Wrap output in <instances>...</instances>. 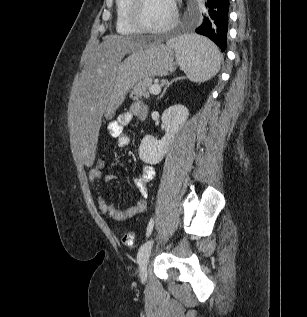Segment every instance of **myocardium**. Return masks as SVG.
<instances>
[{
  "label": "myocardium",
  "instance_id": "1",
  "mask_svg": "<svg viewBox=\"0 0 307 317\" xmlns=\"http://www.w3.org/2000/svg\"><path fill=\"white\" fill-rule=\"evenodd\" d=\"M144 0H130L127 7V17L131 27L138 33H146L152 35H159L169 32L177 24L179 18L178 7L175 0H170L172 5L171 19L159 28H152L146 26L140 18V10Z\"/></svg>",
  "mask_w": 307,
  "mask_h": 317
}]
</instances>
